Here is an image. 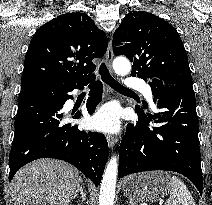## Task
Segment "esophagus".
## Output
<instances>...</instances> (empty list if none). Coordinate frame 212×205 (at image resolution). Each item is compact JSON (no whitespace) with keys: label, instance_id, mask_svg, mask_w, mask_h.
Wrapping results in <instances>:
<instances>
[{"label":"esophagus","instance_id":"1","mask_svg":"<svg viewBox=\"0 0 212 205\" xmlns=\"http://www.w3.org/2000/svg\"><path fill=\"white\" fill-rule=\"evenodd\" d=\"M112 60H113V49H112V42L111 40L108 43V48L106 52V63L109 70L112 69ZM107 142L110 148H113L114 145L117 143V138L111 135L107 136Z\"/></svg>","mask_w":212,"mask_h":205}]
</instances>
